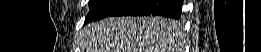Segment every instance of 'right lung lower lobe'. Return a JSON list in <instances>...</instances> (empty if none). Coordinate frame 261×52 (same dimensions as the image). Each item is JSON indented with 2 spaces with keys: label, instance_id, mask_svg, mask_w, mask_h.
Returning a JSON list of instances; mask_svg holds the SVG:
<instances>
[{
  "label": "right lung lower lobe",
  "instance_id": "98d812e1",
  "mask_svg": "<svg viewBox=\"0 0 261 52\" xmlns=\"http://www.w3.org/2000/svg\"><path fill=\"white\" fill-rule=\"evenodd\" d=\"M182 0H106L91 10L86 23L107 16H150L159 15L179 19L182 11Z\"/></svg>",
  "mask_w": 261,
  "mask_h": 52
}]
</instances>
